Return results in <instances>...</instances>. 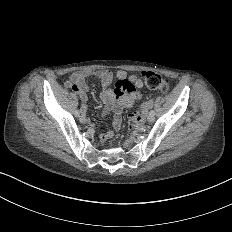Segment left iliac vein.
<instances>
[{
  "instance_id": "left-iliac-vein-1",
  "label": "left iliac vein",
  "mask_w": 232,
  "mask_h": 232,
  "mask_svg": "<svg viewBox=\"0 0 232 232\" xmlns=\"http://www.w3.org/2000/svg\"><path fill=\"white\" fill-rule=\"evenodd\" d=\"M147 122L148 123H153L154 122V115L153 114H148L147 115Z\"/></svg>"
}]
</instances>
